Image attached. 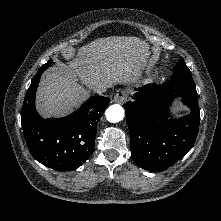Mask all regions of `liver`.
Segmentation results:
<instances>
[{
  "label": "liver",
  "mask_w": 221,
  "mask_h": 221,
  "mask_svg": "<svg viewBox=\"0 0 221 221\" xmlns=\"http://www.w3.org/2000/svg\"><path fill=\"white\" fill-rule=\"evenodd\" d=\"M149 44L137 37L99 38L67 54L69 65L47 72L37 92L44 117L63 116L78 107L89 90L135 81L147 64ZM81 80L82 85L77 81ZM84 84V85H83Z\"/></svg>",
  "instance_id": "1"
}]
</instances>
